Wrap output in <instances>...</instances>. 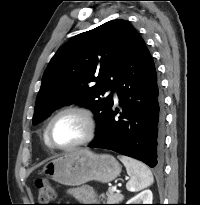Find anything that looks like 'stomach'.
Returning a JSON list of instances; mask_svg holds the SVG:
<instances>
[{
    "mask_svg": "<svg viewBox=\"0 0 200 205\" xmlns=\"http://www.w3.org/2000/svg\"><path fill=\"white\" fill-rule=\"evenodd\" d=\"M43 171L47 177L60 184L79 186L91 180L110 182L120 174L121 166L109 154H95L80 149L48 162Z\"/></svg>",
    "mask_w": 200,
    "mask_h": 205,
    "instance_id": "1",
    "label": "stomach"
}]
</instances>
